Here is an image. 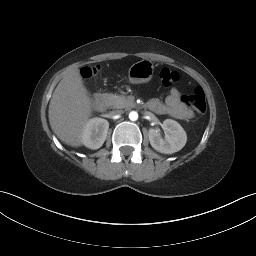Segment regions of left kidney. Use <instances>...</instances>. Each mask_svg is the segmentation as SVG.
I'll list each match as a JSON object with an SVG mask.
<instances>
[{"instance_id": "obj_1", "label": "left kidney", "mask_w": 256, "mask_h": 256, "mask_svg": "<svg viewBox=\"0 0 256 256\" xmlns=\"http://www.w3.org/2000/svg\"><path fill=\"white\" fill-rule=\"evenodd\" d=\"M163 128L166 131L165 138L161 137L157 129L149 130V141L151 146L158 152L171 154L181 150L187 141V134L182 126L172 119H166L163 122Z\"/></svg>"}]
</instances>
